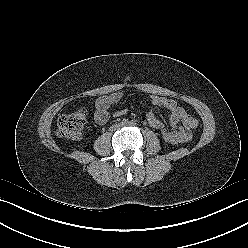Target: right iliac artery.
<instances>
[{"label":"right iliac artery","mask_w":248,"mask_h":248,"mask_svg":"<svg viewBox=\"0 0 248 248\" xmlns=\"http://www.w3.org/2000/svg\"><path fill=\"white\" fill-rule=\"evenodd\" d=\"M123 125H126V124H128L129 123V121H128V119H126V118H124L123 120H122V122H121Z\"/></svg>","instance_id":"right-iliac-artery-1"}]
</instances>
